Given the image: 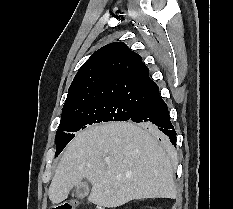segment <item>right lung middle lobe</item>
I'll return each mask as SVG.
<instances>
[{
  "mask_svg": "<svg viewBox=\"0 0 233 209\" xmlns=\"http://www.w3.org/2000/svg\"><path fill=\"white\" fill-rule=\"evenodd\" d=\"M141 105L122 100H101L87 103L62 113L59 129L56 132L57 157L75 136L73 132L89 125L108 121H127ZM149 128L148 124H141Z\"/></svg>",
  "mask_w": 233,
  "mask_h": 209,
  "instance_id": "1",
  "label": "right lung middle lobe"
}]
</instances>
